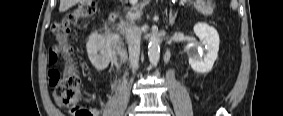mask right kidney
Returning a JSON list of instances; mask_svg holds the SVG:
<instances>
[{
	"label": "right kidney",
	"instance_id": "right-kidney-1",
	"mask_svg": "<svg viewBox=\"0 0 283 116\" xmlns=\"http://www.w3.org/2000/svg\"><path fill=\"white\" fill-rule=\"evenodd\" d=\"M116 38L112 34L92 33L87 41L86 49L92 65L98 70L106 69L115 57Z\"/></svg>",
	"mask_w": 283,
	"mask_h": 116
}]
</instances>
